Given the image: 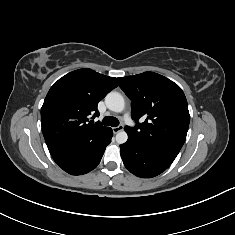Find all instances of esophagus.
I'll return each instance as SVG.
<instances>
[{"label":"esophagus","instance_id":"esophagus-1","mask_svg":"<svg viewBox=\"0 0 235 235\" xmlns=\"http://www.w3.org/2000/svg\"><path fill=\"white\" fill-rule=\"evenodd\" d=\"M112 129H113L114 134H116V133H118V132L123 130V125H119L117 127H113Z\"/></svg>","mask_w":235,"mask_h":235}]
</instances>
